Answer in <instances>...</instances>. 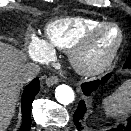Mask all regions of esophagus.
<instances>
[{
    "instance_id": "obj_1",
    "label": "esophagus",
    "mask_w": 131,
    "mask_h": 131,
    "mask_svg": "<svg viewBox=\"0 0 131 131\" xmlns=\"http://www.w3.org/2000/svg\"><path fill=\"white\" fill-rule=\"evenodd\" d=\"M59 82V78L57 76H50L45 80V83L48 86H53Z\"/></svg>"
}]
</instances>
